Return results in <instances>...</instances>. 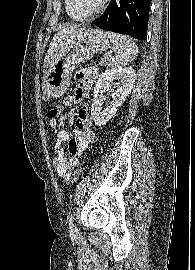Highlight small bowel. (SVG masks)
<instances>
[{
	"label": "small bowel",
	"instance_id": "c3829d8e",
	"mask_svg": "<svg viewBox=\"0 0 195 270\" xmlns=\"http://www.w3.org/2000/svg\"><path fill=\"white\" fill-rule=\"evenodd\" d=\"M97 78L95 69H86L77 74L78 85L73 95H68L63 100L64 107H71L80 103L86 98L88 92ZM67 122L74 124V135L72 138L65 130L57 132V139L54 145L53 166L58 176L68 179L71 172L79 164V156L84 150L94 142L95 133L92 130V119L86 106L80 108L77 112L71 111L66 118ZM58 120L49 119V127L56 130ZM67 143L68 156L64 149Z\"/></svg>",
	"mask_w": 195,
	"mask_h": 270
}]
</instances>
